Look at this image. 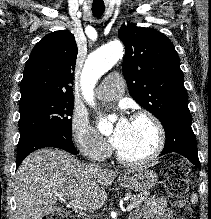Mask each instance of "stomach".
Returning a JSON list of instances; mask_svg holds the SVG:
<instances>
[{
    "instance_id": "obj_1",
    "label": "stomach",
    "mask_w": 211,
    "mask_h": 219,
    "mask_svg": "<svg viewBox=\"0 0 211 219\" xmlns=\"http://www.w3.org/2000/svg\"><path fill=\"white\" fill-rule=\"evenodd\" d=\"M121 184L137 192H146L155 186L158 176L148 168L141 167L135 169L132 174L125 175L119 179Z\"/></svg>"
}]
</instances>
